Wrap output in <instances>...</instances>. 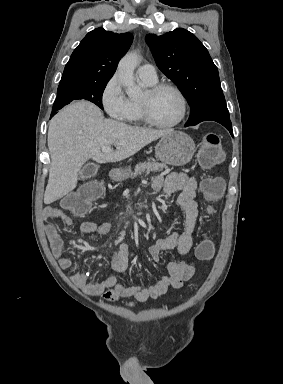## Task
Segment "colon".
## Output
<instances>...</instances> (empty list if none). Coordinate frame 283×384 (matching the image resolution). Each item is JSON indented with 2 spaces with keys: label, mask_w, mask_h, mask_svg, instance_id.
Segmentation results:
<instances>
[{
  "label": "colon",
  "mask_w": 283,
  "mask_h": 384,
  "mask_svg": "<svg viewBox=\"0 0 283 384\" xmlns=\"http://www.w3.org/2000/svg\"><path fill=\"white\" fill-rule=\"evenodd\" d=\"M223 157L224 151L219 135L213 132L207 133L200 143V163L209 168L221 162ZM104 189L105 186L102 181L88 182L63 199L62 206L75 214L86 213L92 204L102 196ZM200 190L209 203H215L222 197L225 183L218 176L206 177L201 181ZM213 255V242L208 238L203 239L196 248L197 258L206 261L210 260Z\"/></svg>",
  "instance_id": "5ec220e1"
}]
</instances>
